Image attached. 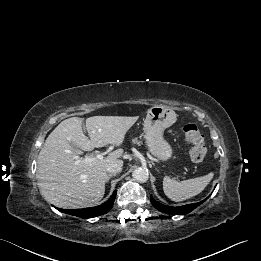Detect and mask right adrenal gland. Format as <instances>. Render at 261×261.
I'll return each instance as SVG.
<instances>
[{
	"instance_id": "2a0ac1e0",
	"label": "right adrenal gland",
	"mask_w": 261,
	"mask_h": 261,
	"mask_svg": "<svg viewBox=\"0 0 261 261\" xmlns=\"http://www.w3.org/2000/svg\"><path fill=\"white\" fill-rule=\"evenodd\" d=\"M112 177V175H108L106 179V183L109 181V179Z\"/></svg>"
}]
</instances>
